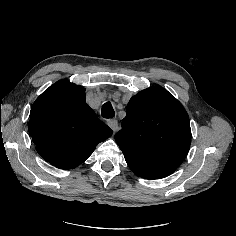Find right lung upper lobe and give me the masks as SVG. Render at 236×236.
Wrapping results in <instances>:
<instances>
[{"label":"right lung upper lobe","mask_w":236,"mask_h":236,"mask_svg":"<svg viewBox=\"0 0 236 236\" xmlns=\"http://www.w3.org/2000/svg\"><path fill=\"white\" fill-rule=\"evenodd\" d=\"M28 126L37 152L61 169L83 163L113 133L86 104L85 89L68 80L54 83L36 99Z\"/></svg>","instance_id":"obj_1"}]
</instances>
